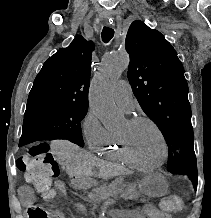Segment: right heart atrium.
<instances>
[{"label":"right heart atrium","instance_id":"right-heart-atrium-1","mask_svg":"<svg viewBox=\"0 0 211 218\" xmlns=\"http://www.w3.org/2000/svg\"><path fill=\"white\" fill-rule=\"evenodd\" d=\"M81 132L88 146L92 149H95L108 133L96 112L91 108L85 113L81 121Z\"/></svg>","mask_w":211,"mask_h":218}]
</instances>
